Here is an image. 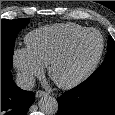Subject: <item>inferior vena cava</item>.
Returning <instances> with one entry per match:
<instances>
[{
    "label": "inferior vena cava",
    "mask_w": 115,
    "mask_h": 115,
    "mask_svg": "<svg viewBox=\"0 0 115 115\" xmlns=\"http://www.w3.org/2000/svg\"><path fill=\"white\" fill-rule=\"evenodd\" d=\"M16 85L23 90H31L35 86V79L26 72H18L15 80Z\"/></svg>",
    "instance_id": "602c4592"
}]
</instances>
